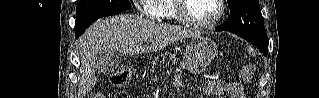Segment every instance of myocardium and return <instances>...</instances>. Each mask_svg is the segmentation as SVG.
<instances>
[{"mask_svg": "<svg viewBox=\"0 0 319 98\" xmlns=\"http://www.w3.org/2000/svg\"><path fill=\"white\" fill-rule=\"evenodd\" d=\"M216 2L219 8L218 13L216 14L214 18H212L209 21H199L188 16L185 12L184 0H175L174 5H175L176 15L182 23L188 26L196 27V28H211L215 26L223 18L225 13V1L216 0Z\"/></svg>", "mask_w": 319, "mask_h": 98, "instance_id": "myocardium-1", "label": "myocardium"}]
</instances>
